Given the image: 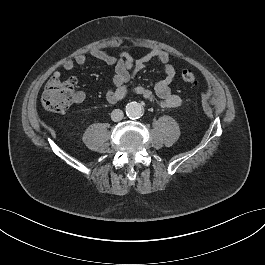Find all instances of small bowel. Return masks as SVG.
<instances>
[{"mask_svg": "<svg viewBox=\"0 0 265 265\" xmlns=\"http://www.w3.org/2000/svg\"><path fill=\"white\" fill-rule=\"evenodd\" d=\"M89 56L115 67V75L112 79V87L106 93V99L110 104H116L122 100L128 92V82L134 78L147 64L157 61L163 66L164 77L159 80L155 87L147 89L142 86L133 88V92L161 107L176 108L182 104V98L173 93L171 83L176 75L175 67L170 63L168 52L160 49L151 50L141 56H133L127 52H119L111 55L100 49H93ZM89 58L85 54H77L72 59L63 62L65 71H72L77 65H84ZM53 76L61 77L60 71H55ZM85 99L83 91L75 92L74 102L81 103Z\"/></svg>", "mask_w": 265, "mask_h": 265, "instance_id": "c3829d8e", "label": "small bowel"}]
</instances>
